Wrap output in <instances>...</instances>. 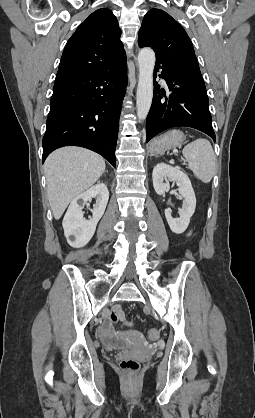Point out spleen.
Segmentation results:
<instances>
[{
    "instance_id": "obj_1",
    "label": "spleen",
    "mask_w": 255,
    "mask_h": 418,
    "mask_svg": "<svg viewBox=\"0 0 255 418\" xmlns=\"http://www.w3.org/2000/svg\"><path fill=\"white\" fill-rule=\"evenodd\" d=\"M188 168L203 183H209L215 173L216 160L211 143L199 138L186 145L182 151Z\"/></svg>"
}]
</instances>
